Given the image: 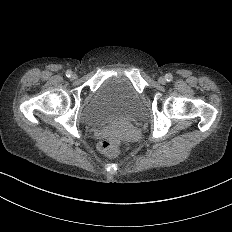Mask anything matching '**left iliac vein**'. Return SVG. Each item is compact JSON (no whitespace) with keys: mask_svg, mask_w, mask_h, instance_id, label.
<instances>
[{"mask_svg":"<svg viewBox=\"0 0 232 232\" xmlns=\"http://www.w3.org/2000/svg\"><path fill=\"white\" fill-rule=\"evenodd\" d=\"M159 83L160 84H165L166 83V78L165 77H160L159 78Z\"/></svg>","mask_w":232,"mask_h":232,"instance_id":"left-iliac-vein-1","label":"left iliac vein"}]
</instances>
